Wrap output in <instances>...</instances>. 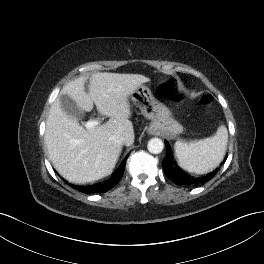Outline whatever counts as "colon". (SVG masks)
<instances>
[{
  "label": "colon",
  "instance_id": "obj_1",
  "mask_svg": "<svg viewBox=\"0 0 264 264\" xmlns=\"http://www.w3.org/2000/svg\"><path fill=\"white\" fill-rule=\"evenodd\" d=\"M162 92L165 96L171 99L177 98V92L176 88L173 83H166L162 86ZM213 98L210 94L203 95L199 101L198 104L201 106H207L212 102Z\"/></svg>",
  "mask_w": 264,
  "mask_h": 264
}]
</instances>
